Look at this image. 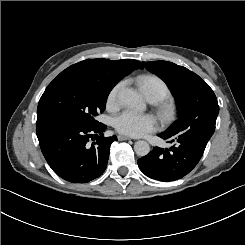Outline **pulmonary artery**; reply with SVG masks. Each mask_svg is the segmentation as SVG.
<instances>
[{
	"instance_id": "pulmonary-artery-1",
	"label": "pulmonary artery",
	"mask_w": 245,
	"mask_h": 245,
	"mask_svg": "<svg viewBox=\"0 0 245 245\" xmlns=\"http://www.w3.org/2000/svg\"><path fill=\"white\" fill-rule=\"evenodd\" d=\"M150 101H155L154 98L147 96Z\"/></svg>"
}]
</instances>
